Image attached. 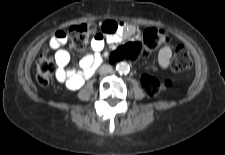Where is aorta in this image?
I'll return each instance as SVG.
<instances>
[{"instance_id":"762f6f07","label":"aorta","mask_w":225,"mask_h":155,"mask_svg":"<svg viewBox=\"0 0 225 155\" xmlns=\"http://www.w3.org/2000/svg\"><path fill=\"white\" fill-rule=\"evenodd\" d=\"M116 70L120 74H127L130 71V66L126 62H120L117 64Z\"/></svg>"}]
</instances>
